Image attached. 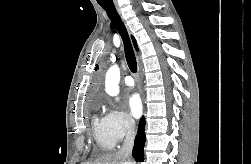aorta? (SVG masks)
Masks as SVG:
<instances>
[{
	"mask_svg": "<svg viewBox=\"0 0 251 164\" xmlns=\"http://www.w3.org/2000/svg\"><path fill=\"white\" fill-rule=\"evenodd\" d=\"M120 69L117 65H113L106 73L105 90L111 96L119 93Z\"/></svg>",
	"mask_w": 251,
	"mask_h": 164,
	"instance_id": "1",
	"label": "aorta"
}]
</instances>
